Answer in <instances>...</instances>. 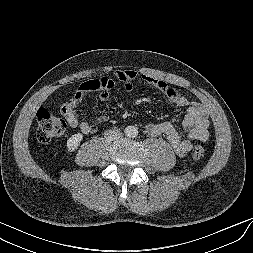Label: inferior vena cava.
<instances>
[{
  "label": "inferior vena cava",
  "instance_id": "obj_1",
  "mask_svg": "<svg viewBox=\"0 0 253 253\" xmlns=\"http://www.w3.org/2000/svg\"><path fill=\"white\" fill-rule=\"evenodd\" d=\"M107 140L113 141L118 140L122 137V133L118 129L108 130L104 133Z\"/></svg>",
  "mask_w": 253,
  "mask_h": 253
}]
</instances>
